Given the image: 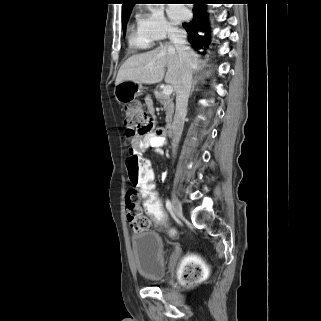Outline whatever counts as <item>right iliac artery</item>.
Returning <instances> with one entry per match:
<instances>
[{
    "label": "right iliac artery",
    "instance_id": "right-iliac-artery-1",
    "mask_svg": "<svg viewBox=\"0 0 321 321\" xmlns=\"http://www.w3.org/2000/svg\"><path fill=\"white\" fill-rule=\"evenodd\" d=\"M166 208L169 212L172 211V204L169 199L166 200Z\"/></svg>",
    "mask_w": 321,
    "mask_h": 321
}]
</instances>
